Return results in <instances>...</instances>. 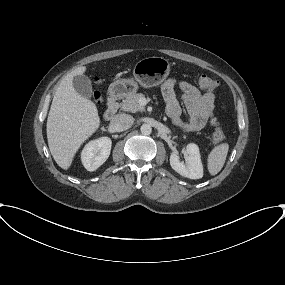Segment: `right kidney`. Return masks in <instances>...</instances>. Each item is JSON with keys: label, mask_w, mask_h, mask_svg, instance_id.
Masks as SVG:
<instances>
[{"label": "right kidney", "mask_w": 285, "mask_h": 285, "mask_svg": "<svg viewBox=\"0 0 285 285\" xmlns=\"http://www.w3.org/2000/svg\"><path fill=\"white\" fill-rule=\"evenodd\" d=\"M112 141L109 137H101L85 145L81 153L82 164L88 171L98 169L109 157Z\"/></svg>", "instance_id": "1"}]
</instances>
